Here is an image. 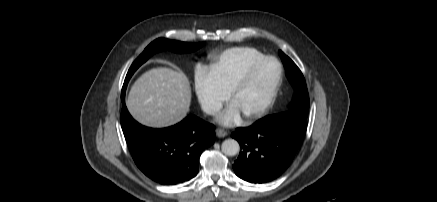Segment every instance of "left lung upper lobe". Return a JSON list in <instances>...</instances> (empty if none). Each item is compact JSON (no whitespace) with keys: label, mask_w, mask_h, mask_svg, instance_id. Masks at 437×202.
I'll return each instance as SVG.
<instances>
[{"label":"left lung upper lobe","mask_w":437,"mask_h":202,"mask_svg":"<svg viewBox=\"0 0 437 202\" xmlns=\"http://www.w3.org/2000/svg\"><path fill=\"white\" fill-rule=\"evenodd\" d=\"M279 55L284 64L287 78L295 90V95L291 105L284 111L294 110L303 115H308L309 94L304 76L288 56H286L282 51H279Z\"/></svg>","instance_id":"obj_1"}]
</instances>
